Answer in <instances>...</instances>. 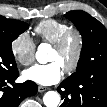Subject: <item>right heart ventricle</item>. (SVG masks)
Wrapping results in <instances>:
<instances>
[{
    "label": "right heart ventricle",
    "mask_w": 107,
    "mask_h": 107,
    "mask_svg": "<svg viewBox=\"0 0 107 107\" xmlns=\"http://www.w3.org/2000/svg\"><path fill=\"white\" fill-rule=\"evenodd\" d=\"M70 28L71 26L67 22L45 19L35 26L34 31L41 41L53 44Z\"/></svg>",
    "instance_id": "e07e8e85"
}]
</instances>
